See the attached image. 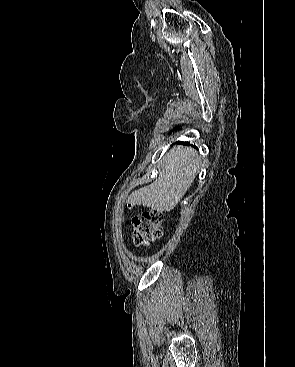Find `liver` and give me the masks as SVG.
Returning a JSON list of instances; mask_svg holds the SVG:
<instances>
[{
  "instance_id": "6515ba94",
  "label": "liver",
  "mask_w": 295,
  "mask_h": 367,
  "mask_svg": "<svg viewBox=\"0 0 295 367\" xmlns=\"http://www.w3.org/2000/svg\"><path fill=\"white\" fill-rule=\"evenodd\" d=\"M201 166L202 160L194 149L177 146L165 156L158 178L134 191L128 201L131 205L169 212L189 189Z\"/></svg>"
}]
</instances>
